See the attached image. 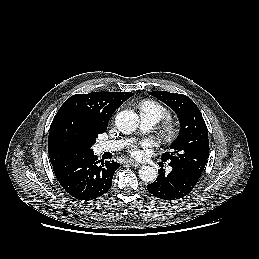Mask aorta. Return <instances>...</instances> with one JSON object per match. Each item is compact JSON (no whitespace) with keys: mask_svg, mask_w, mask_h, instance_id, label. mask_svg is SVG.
Returning <instances> with one entry per match:
<instances>
[{"mask_svg":"<svg viewBox=\"0 0 259 259\" xmlns=\"http://www.w3.org/2000/svg\"><path fill=\"white\" fill-rule=\"evenodd\" d=\"M139 116L132 110H123L115 118L118 130L124 134L134 132L139 125ZM157 171L152 166L144 165L139 169V177L144 182H153L157 178Z\"/></svg>","mask_w":259,"mask_h":259,"instance_id":"obj_1","label":"aorta"}]
</instances>
